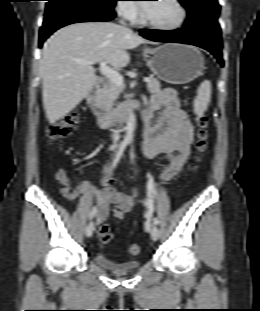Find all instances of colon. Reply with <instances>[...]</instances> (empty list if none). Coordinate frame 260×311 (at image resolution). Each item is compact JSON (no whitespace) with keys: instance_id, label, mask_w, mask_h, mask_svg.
Here are the masks:
<instances>
[{"instance_id":"colon-1","label":"colon","mask_w":260,"mask_h":311,"mask_svg":"<svg viewBox=\"0 0 260 311\" xmlns=\"http://www.w3.org/2000/svg\"><path fill=\"white\" fill-rule=\"evenodd\" d=\"M80 124V116L77 112H73L65 116L63 119L51 123L46 128V138L50 143L57 142L68 136ZM197 140H196V159L201 161L204 157L208 146L209 138V119L205 114L196 116ZM99 233L103 243H110L113 240V234L109 231L108 225L104 224ZM130 255H137L140 252V246L136 243L131 244L127 248Z\"/></svg>"}]
</instances>
